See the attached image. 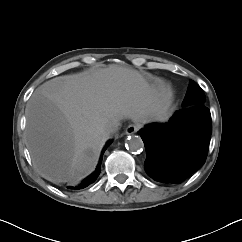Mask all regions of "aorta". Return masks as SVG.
I'll return each instance as SVG.
<instances>
[{
    "instance_id": "762f6f07",
    "label": "aorta",
    "mask_w": 242,
    "mask_h": 242,
    "mask_svg": "<svg viewBox=\"0 0 242 242\" xmlns=\"http://www.w3.org/2000/svg\"><path fill=\"white\" fill-rule=\"evenodd\" d=\"M127 148L134 152H139L143 149L144 143L138 136H129L127 139Z\"/></svg>"
}]
</instances>
